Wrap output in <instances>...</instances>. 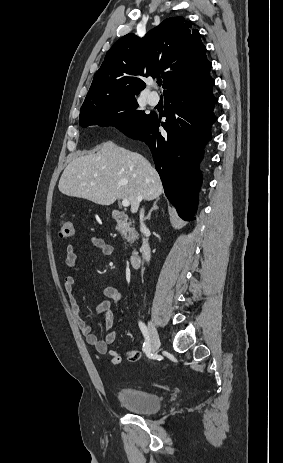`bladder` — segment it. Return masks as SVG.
Listing matches in <instances>:
<instances>
[{"instance_id":"31cf9c89","label":"bladder","mask_w":283,"mask_h":463,"mask_svg":"<svg viewBox=\"0 0 283 463\" xmlns=\"http://www.w3.org/2000/svg\"><path fill=\"white\" fill-rule=\"evenodd\" d=\"M117 398L123 406L137 414L151 415L161 408V398L158 394L138 388H119Z\"/></svg>"}]
</instances>
